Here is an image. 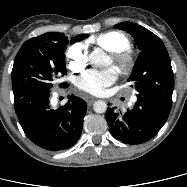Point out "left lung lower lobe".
I'll use <instances>...</instances> for the list:
<instances>
[{
    "mask_svg": "<svg viewBox=\"0 0 187 187\" xmlns=\"http://www.w3.org/2000/svg\"><path fill=\"white\" fill-rule=\"evenodd\" d=\"M172 103L137 96L131 110L119 115L108 108L106 120L111 135L126 144H141L153 138L165 124Z\"/></svg>",
    "mask_w": 187,
    "mask_h": 187,
    "instance_id": "left-lung-lower-lobe-1",
    "label": "left lung lower lobe"
}]
</instances>
